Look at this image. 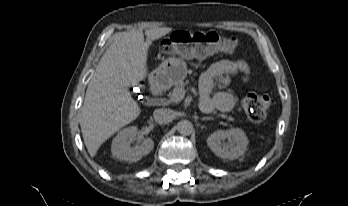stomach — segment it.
Here are the masks:
<instances>
[{
  "label": "stomach",
  "mask_w": 348,
  "mask_h": 206,
  "mask_svg": "<svg viewBox=\"0 0 348 206\" xmlns=\"http://www.w3.org/2000/svg\"><path fill=\"white\" fill-rule=\"evenodd\" d=\"M188 37L185 42L181 43L183 47L182 57H168L151 73V76L159 84L171 86L182 82L187 75V65L184 58L203 59L205 57L206 54L203 50L208 42L204 40V36L193 38V34H190Z\"/></svg>",
  "instance_id": "obj_1"
}]
</instances>
